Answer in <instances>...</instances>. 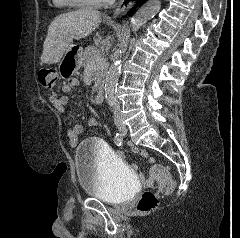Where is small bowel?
Instances as JSON below:
<instances>
[{
	"instance_id": "small-bowel-1",
	"label": "small bowel",
	"mask_w": 240,
	"mask_h": 238,
	"mask_svg": "<svg viewBox=\"0 0 240 238\" xmlns=\"http://www.w3.org/2000/svg\"><path fill=\"white\" fill-rule=\"evenodd\" d=\"M78 87H79L78 80L72 79L70 80L69 84H64L61 87V92L68 93L73 88H78ZM50 102L59 112L64 113L68 105V97L66 95H59L57 93H52L50 95ZM87 122L89 125H96V121L93 118H89ZM82 132H83V126L80 124H75L73 127L67 130V137L69 139V144L72 147L78 146L80 141L79 137L82 134ZM131 146H132L131 149L133 150V152L145 158L149 164L154 163V159L148 155L147 151L143 149H139V146H140L139 143H132ZM117 153L125 154V149H118ZM130 167L131 169H136L137 166L136 164H131ZM138 173L139 175H144L145 172L144 170H139ZM142 184H144V187H155V182H151V179H142Z\"/></svg>"
}]
</instances>
